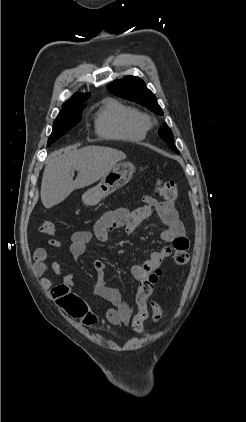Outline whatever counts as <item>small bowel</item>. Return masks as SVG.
I'll return each mask as SVG.
<instances>
[{"instance_id":"obj_1","label":"small bowel","mask_w":246,"mask_h":422,"mask_svg":"<svg viewBox=\"0 0 246 422\" xmlns=\"http://www.w3.org/2000/svg\"><path fill=\"white\" fill-rule=\"evenodd\" d=\"M143 205L133 209L117 208L105 212L95 223L93 231H76L72 234L70 251L79 257L87 250V245L93 237L101 242L109 241L114 230L124 228L126 233L133 234L140 223L150 218L154 211L166 226L161 232V239L170 245L161 247L153 251L149 258L142 264L132 266L131 272L135 279L141 280L145 275L158 270L163 260L170 257L176 251H188L189 240L186 236L184 225L172 201H158L152 196L143 197ZM61 243L56 239H51L48 246L37 248L34 251V271L41 277L42 286L50 293L51 298L62 307L70 316L79 319L86 326H93L99 320V313L91 309L75 293V277L71 273L63 276L61 283H54L48 276L49 272L56 275L61 274L58 261L51 264L47 262L49 258V248H58ZM96 270V283L94 293L106 299L111 307L104 310L108 321L114 325H127L132 316V308L126 303L120 291L111 287L104 276L105 264L101 260L94 261Z\"/></svg>"}]
</instances>
